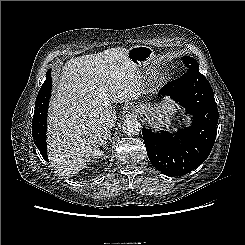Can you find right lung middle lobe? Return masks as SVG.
Instances as JSON below:
<instances>
[{
  "label": "right lung middle lobe",
  "instance_id": "obj_1",
  "mask_svg": "<svg viewBox=\"0 0 245 245\" xmlns=\"http://www.w3.org/2000/svg\"><path fill=\"white\" fill-rule=\"evenodd\" d=\"M51 70L46 73V80L43 83L35 102V112L34 114L40 115L42 113H47L49 98L51 95L52 79Z\"/></svg>",
  "mask_w": 245,
  "mask_h": 245
}]
</instances>
